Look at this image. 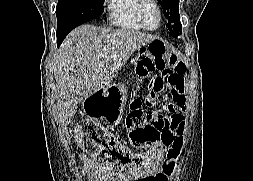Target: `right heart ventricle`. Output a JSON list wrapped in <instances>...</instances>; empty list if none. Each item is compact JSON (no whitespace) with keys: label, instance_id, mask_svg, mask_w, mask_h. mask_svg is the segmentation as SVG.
<instances>
[{"label":"right heart ventricle","instance_id":"1","mask_svg":"<svg viewBox=\"0 0 253 181\" xmlns=\"http://www.w3.org/2000/svg\"><path fill=\"white\" fill-rule=\"evenodd\" d=\"M138 0H105L109 22L125 31H141L135 17V7Z\"/></svg>","mask_w":253,"mask_h":181}]
</instances>
